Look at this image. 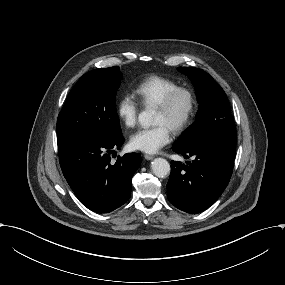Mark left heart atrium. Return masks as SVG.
I'll use <instances>...</instances> for the list:
<instances>
[{
	"label": "left heart atrium",
	"mask_w": 285,
	"mask_h": 285,
	"mask_svg": "<svg viewBox=\"0 0 285 285\" xmlns=\"http://www.w3.org/2000/svg\"><path fill=\"white\" fill-rule=\"evenodd\" d=\"M171 127L158 123L152 127L144 128L131 138L134 148L144 152H155L170 140Z\"/></svg>",
	"instance_id": "obj_1"
}]
</instances>
